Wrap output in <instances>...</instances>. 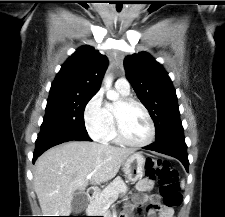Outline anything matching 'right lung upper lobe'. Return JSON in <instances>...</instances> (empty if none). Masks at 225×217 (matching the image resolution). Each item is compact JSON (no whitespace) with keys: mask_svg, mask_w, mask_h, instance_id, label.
<instances>
[{"mask_svg":"<svg viewBox=\"0 0 225 217\" xmlns=\"http://www.w3.org/2000/svg\"><path fill=\"white\" fill-rule=\"evenodd\" d=\"M108 60L91 46H82L62 65L50 94L95 95L107 69Z\"/></svg>","mask_w":225,"mask_h":217,"instance_id":"1","label":"right lung upper lobe"}]
</instances>
